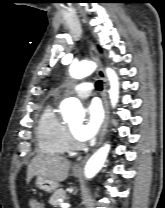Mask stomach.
Here are the masks:
<instances>
[{"instance_id":"1","label":"stomach","mask_w":165,"mask_h":208,"mask_svg":"<svg viewBox=\"0 0 165 208\" xmlns=\"http://www.w3.org/2000/svg\"><path fill=\"white\" fill-rule=\"evenodd\" d=\"M72 174L78 177L80 176V171L73 170ZM36 186L46 193H52L58 188V183L54 182L51 179L38 175L36 178Z\"/></svg>"}]
</instances>
